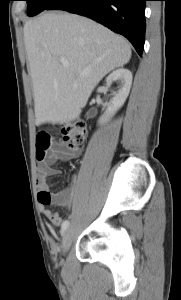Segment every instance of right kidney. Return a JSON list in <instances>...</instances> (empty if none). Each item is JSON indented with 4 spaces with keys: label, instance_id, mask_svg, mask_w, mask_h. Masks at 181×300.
I'll list each match as a JSON object with an SVG mask.
<instances>
[{
    "label": "right kidney",
    "instance_id": "1",
    "mask_svg": "<svg viewBox=\"0 0 181 300\" xmlns=\"http://www.w3.org/2000/svg\"><path fill=\"white\" fill-rule=\"evenodd\" d=\"M119 81L120 86L117 92H113V98L107 106L106 111L99 120V123L108 121L126 101L132 85V73L128 69L120 68L113 71L106 78V85L110 87L112 82Z\"/></svg>",
    "mask_w": 181,
    "mask_h": 300
}]
</instances>
